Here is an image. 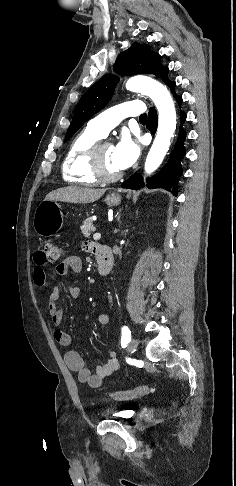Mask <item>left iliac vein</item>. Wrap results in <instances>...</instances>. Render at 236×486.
Returning a JSON list of instances; mask_svg holds the SVG:
<instances>
[{"instance_id": "1", "label": "left iliac vein", "mask_w": 236, "mask_h": 486, "mask_svg": "<svg viewBox=\"0 0 236 486\" xmlns=\"http://www.w3.org/2000/svg\"><path fill=\"white\" fill-rule=\"evenodd\" d=\"M137 347H138V342L136 339H132L129 344H128V351L130 353H135V351L137 350Z\"/></svg>"}]
</instances>
